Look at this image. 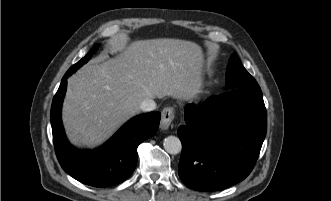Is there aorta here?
<instances>
[{
	"mask_svg": "<svg viewBox=\"0 0 331 201\" xmlns=\"http://www.w3.org/2000/svg\"><path fill=\"white\" fill-rule=\"evenodd\" d=\"M163 146L166 152L175 155L181 152L182 144L178 137L168 136L164 139Z\"/></svg>",
	"mask_w": 331,
	"mask_h": 201,
	"instance_id": "obj_1",
	"label": "aorta"
}]
</instances>
